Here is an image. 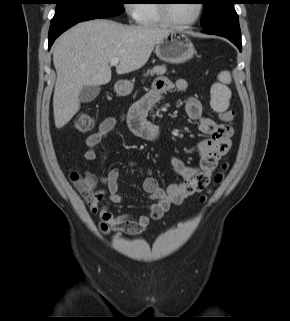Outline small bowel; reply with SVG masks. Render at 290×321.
Returning <instances> with one entry per match:
<instances>
[{
    "instance_id": "obj_1",
    "label": "small bowel",
    "mask_w": 290,
    "mask_h": 321,
    "mask_svg": "<svg viewBox=\"0 0 290 321\" xmlns=\"http://www.w3.org/2000/svg\"><path fill=\"white\" fill-rule=\"evenodd\" d=\"M187 86V81L182 78L177 79L175 82L165 77L157 78L153 88L139 98L124 116V120L131 132L136 137L144 140H157L160 135V129L157 124L148 118V112L167 92L172 89L184 92ZM184 109L188 118L198 123L199 130L210 137L197 145L199 164L195 167H190L185 165L178 157H172L173 169L182 178V181L171 183L165 189L160 187L156 178L148 176L144 180L143 189L151 196L154 203L149 207L145 215L139 217L130 215L116 216L107 206L101 205L102 198L91 202L89 204L90 211L99 215V229L104 234L117 229L139 233L146 229L151 221L160 219L172 205L180 204L188 197L201 192L208 185L217 162L230 148L233 129L229 124L217 123L205 117L202 111V104L197 98H188ZM117 122L118 119L116 117L105 118L98 128L86 138L88 149L84 159L87 163L95 160L97 156L96 148L102 144ZM119 176L120 170L113 168L106 175H98L96 177L99 182L106 186L109 200L114 204L123 202V196L120 194L118 186Z\"/></svg>"
}]
</instances>
